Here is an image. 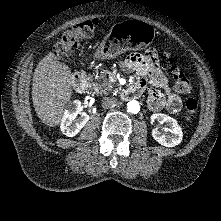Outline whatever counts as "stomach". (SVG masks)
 <instances>
[{
	"mask_svg": "<svg viewBox=\"0 0 221 221\" xmlns=\"http://www.w3.org/2000/svg\"><path fill=\"white\" fill-rule=\"evenodd\" d=\"M155 37L154 29L147 23L119 24L104 38L94 53V58L98 60L114 59L122 53L151 45Z\"/></svg>",
	"mask_w": 221,
	"mask_h": 221,
	"instance_id": "stomach-1",
	"label": "stomach"
}]
</instances>
